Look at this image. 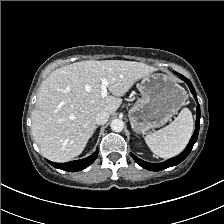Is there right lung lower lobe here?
I'll use <instances>...</instances> for the list:
<instances>
[{
	"label": "right lung lower lobe",
	"instance_id": "98d812e1",
	"mask_svg": "<svg viewBox=\"0 0 224 224\" xmlns=\"http://www.w3.org/2000/svg\"><path fill=\"white\" fill-rule=\"evenodd\" d=\"M98 151H96L94 154L91 156L81 159V160H75V161H70L67 163H54L51 161H48L52 166L69 171V172H75V171H80L85 168H87L90 164L94 162V160L97 158Z\"/></svg>",
	"mask_w": 224,
	"mask_h": 224
}]
</instances>
